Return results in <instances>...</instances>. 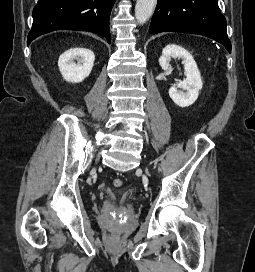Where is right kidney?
I'll use <instances>...</instances> for the list:
<instances>
[{
    "label": "right kidney",
    "mask_w": 255,
    "mask_h": 272,
    "mask_svg": "<svg viewBox=\"0 0 255 272\" xmlns=\"http://www.w3.org/2000/svg\"><path fill=\"white\" fill-rule=\"evenodd\" d=\"M77 60V64L74 60ZM94 53L83 47L68 49L58 60L59 70L63 78L72 83L82 82L87 78L93 68Z\"/></svg>",
    "instance_id": "right-kidney-1"
}]
</instances>
